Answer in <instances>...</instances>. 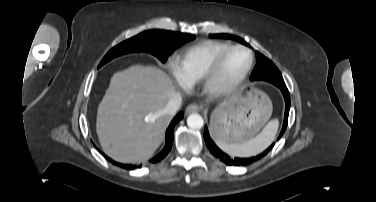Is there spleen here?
<instances>
[{
	"label": "spleen",
	"mask_w": 376,
	"mask_h": 202,
	"mask_svg": "<svg viewBox=\"0 0 376 202\" xmlns=\"http://www.w3.org/2000/svg\"><path fill=\"white\" fill-rule=\"evenodd\" d=\"M279 126L278 119L271 120L255 138L244 143L231 144L217 141L218 147L231 156L250 157L264 151L274 140Z\"/></svg>",
	"instance_id": "1"
}]
</instances>
